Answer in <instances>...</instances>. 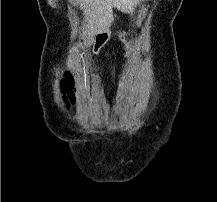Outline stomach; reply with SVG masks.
I'll return each instance as SVG.
<instances>
[{
  "instance_id": "stomach-1",
  "label": "stomach",
  "mask_w": 217,
  "mask_h": 202,
  "mask_svg": "<svg viewBox=\"0 0 217 202\" xmlns=\"http://www.w3.org/2000/svg\"><path fill=\"white\" fill-rule=\"evenodd\" d=\"M130 52H131V48H130V46H127L126 56H129Z\"/></svg>"
}]
</instances>
